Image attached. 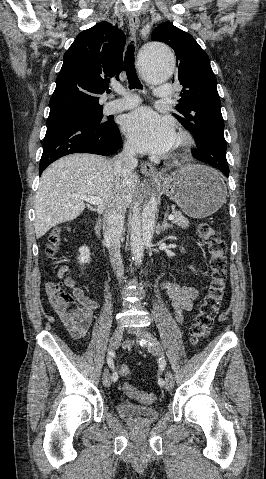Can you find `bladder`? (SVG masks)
<instances>
[{
	"mask_svg": "<svg viewBox=\"0 0 266 479\" xmlns=\"http://www.w3.org/2000/svg\"><path fill=\"white\" fill-rule=\"evenodd\" d=\"M118 415L130 424H151L159 417V410L154 406H141L131 401H119L116 404Z\"/></svg>",
	"mask_w": 266,
	"mask_h": 479,
	"instance_id": "bladder-1",
	"label": "bladder"
}]
</instances>
